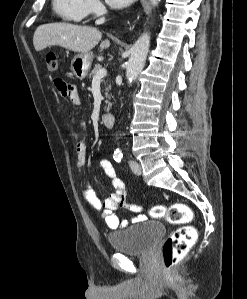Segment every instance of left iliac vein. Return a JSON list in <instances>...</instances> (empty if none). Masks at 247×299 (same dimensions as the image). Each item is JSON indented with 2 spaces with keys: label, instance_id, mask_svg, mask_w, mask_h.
Returning a JSON list of instances; mask_svg holds the SVG:
<instances>
[{
  "label": "left iliac vein",
  "instance_id": "4c4485c4",
  "mask_svg": "<svg viewBox=\"0 0 247 299\" xmlns=\"http://www.w3.org/2000/svg\"><path fill=\"white\" fill-rule=\"evenodd\" d=\"M130 167L136 175L141 174V172H142L141 166L136 161H130Z\"/></svg>",
  "mask_w": 247,
  "mask_h": 299
}]
</instances>
